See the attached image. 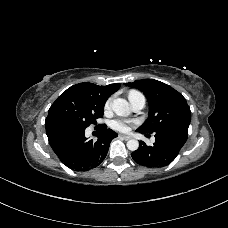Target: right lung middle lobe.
<instances>
[{
  "mask_svg": "<svg viewBox=\"0 0 228 228\" xmlns=\"http://www.w3.org/2000/svg\"><path fill=\"white\" fill-rule=\"evenodd\" d=\"M106 100L70 87L51 105L45 123L62 121L86 128L103 117Z\"/></svg>",
  "mask_w": 228,
  "mask_h": 228,
  "instance_id": "dd1d6c3e",
  "label": "right lung middle lobe"
}]
</instances>
